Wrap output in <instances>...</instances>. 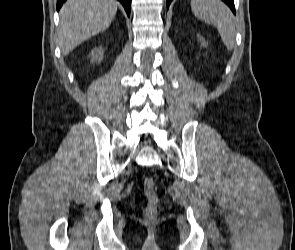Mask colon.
Returning <instances> with one entry per match:
<instances>
[{
  "label": "colon",
  "mask_w": 295,
  "mask_h": 250,
  "mask_svg": "<svg viewBox=\"0 0 295 250\" xmlns=\"http://www.w3.org/2000/svg\"><path fill=\"white\" fill-rule=\"evenodd\" d=\"M143 190L147 199V206L144 210V217L147 221H153L158 213V196L155 182L152 178H146L143 182Z\"/></svg>",
  "instance_id": "1"
}]
</instances>
